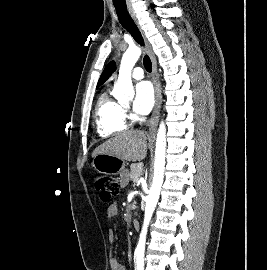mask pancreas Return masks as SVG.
Listing matches in <instances>:
<instances>
[{
    "label": "pancreas",
    "mask_w": 267,
    "mask_h": 270,
    "mask_svg": "<svg viewBox=\"0 0 267 270\" xmlns=\"http://www.w3.org/2000/svg\"><path fill=\"white\" fill-rule=\"evenodd\" d=\"M131 172H130V178L133 182H136V180L140 177V175L143 172L144 165L143 163H135L130 166Z\"/></svg>",
    "instance_id": "pancreas-1"
}]
</instances>
